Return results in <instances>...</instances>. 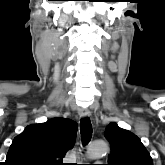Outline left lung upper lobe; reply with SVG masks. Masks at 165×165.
<instances>
[{
	"mask_svg": "<svg viewBox=\"0 0 165 165\" xmlns=\"http://www.w3.org/2000/svg\"><path fill=\"white\" fill-rule=\"evenodd\" d=\"M105 138L111 146L107 165H153L152 158L140 139L128 130L110 123Z\"/></svg>",
	"mask_w": 165,
	"mask_h": 165,
	"instance_id": "1",
	"label": "left lung upper lobe"
}]
</instances>
